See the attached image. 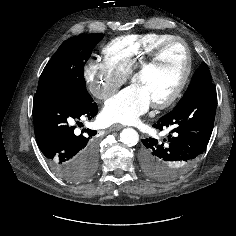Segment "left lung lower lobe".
Wrapping results in <instances>:
<instances>
[{
	"label": "left lung lower lobe",
	"instance_id": "1",
	"mask_svg": "<svg viewBox=\"0 0 236 236\" xmlns=\"http://www.w3.org/2000/svg\"><path fill=\"white\" fill-rule=\"evenodd\" d=\"M217 95L212 83L191 94L154 125L172 129L163 141L146 138L141 155L143 172L151 178L167 181L188 169L204 152L214 126Z\"/></svg>",
	"mask_w": 236,
	"mask_h": 236
}]
</instances>
